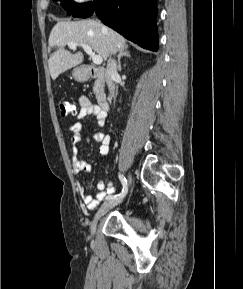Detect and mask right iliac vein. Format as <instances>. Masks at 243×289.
Segmentation results:
<instances>
[{
	"mask_svg": "<svg viewBox=\"0 0 243 289\" xmlns=\"http://www.w3.org/2000/svg\"><path fill=\"white\" fill-rule=\"evenodd\" d=\"M131 176H129V183L131 184ZM123 200V197L122 198H118V199H110L108 200L107 202H105L101 207L100 209L98 210V212L96 213L92 223H91V227H90V231H91V234H94L95 233V230H96V225H97V222L98 220L104 215L106 214L109 210H111L113 207H115L116 205H118L119 203H121Z\"/></svg>",
	"mask_w": 243,
	"mask_h": 289,
	"instance_id": "63e3f726",
	"label": "right iliac vein"
}]
</instances>
